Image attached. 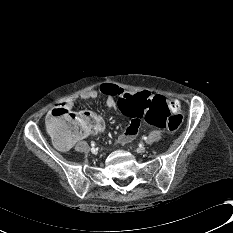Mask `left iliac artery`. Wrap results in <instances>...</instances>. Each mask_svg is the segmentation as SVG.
Returning a JSON list of instances; mask_svg holds the SVG:
<instances>
[{"label": "left iliac artery", "mask_w": 233, "mask_h": 233, "mask_svg": "<svg viewBox=\"0 0 233 233\" xmlns=\"http://www.w3.org/2000/svg\"><path fill=\"white\" fill-rule=\"evenodd\" d=\"M142 139H143V140H147V137H146V136H143Z\"/></svg>", "instance_id": "left-iliac-artery-1"}]
</instances>
